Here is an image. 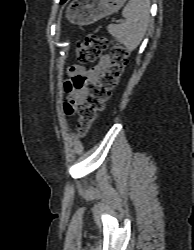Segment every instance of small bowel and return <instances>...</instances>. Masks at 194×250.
Segmentation results:
<instances>
[{"label": "small bowel", "mask_w": 194, "mask_h": 250, "mask_svg": "<svg viewBox=\"0 0 194 250\" xmlns=\"http://www.w3.org/2000/svg\"><path fill=\"white\" fill-rule=\"evenodd\" d=\"M110 62V57L104 55L88 69L80 65L69 67V79L64 83V89L67 93L66 108H72L85 102L89 86L97 82L100 74L109 67Z\"/></svg>", "instance_id": "small-bowel-1"}]
</instances>
